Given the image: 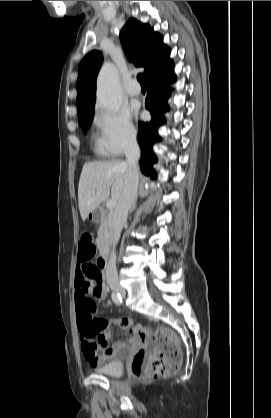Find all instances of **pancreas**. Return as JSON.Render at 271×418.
<instances>
[{
	"label": "pancreas",
	"instance_id": "pancreas-1",
	"mask_svg": "<svg viewBox=\"0 0 271 418\" xmlns=\"http://www.w3.org/2000/svg\"><path fill=\"white\" fill-rule=\"evenodd\" d=\"M112 222L110 215H105L102 218L101 225L98 229L97 242L100 248L104 247L112 237Z\"/></svg>",
	"mask_w": 271,
	"mask_h": 418
}]
</instances>
